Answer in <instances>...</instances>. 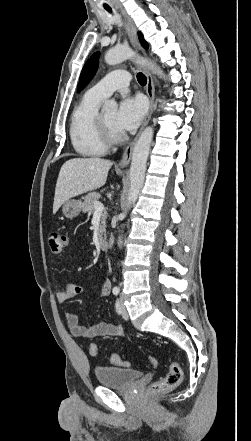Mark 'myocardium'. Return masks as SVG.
I'll return each instance as SVG.
<instances>
[{
    "label": "myocardium",
    "mask_w": 251,
    "mask_h": 441,
    "mask_svg": "<svg viewBox=\"0 0 251 441\" xmlns=\"http://www.w3.org/2000/svg\"><path fill=\"white\" fill-rule=\"evenodd\" d=\"M97 124L100 136L107 146L116 145L124 141L125 136L122 133L114 134L109 129L101 112L98 114Z\"/></svg>",
    "instance_id": "1"
}]
</instances>
